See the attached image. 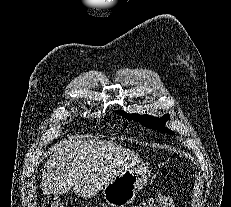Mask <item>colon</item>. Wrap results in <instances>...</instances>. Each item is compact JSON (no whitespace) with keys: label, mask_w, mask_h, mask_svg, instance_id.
Masks as SVG:
<instances>
[{"label":"colon","mask_w":231,"mask_h":207,"mask_svg":"<svg viewBox=\"0 0 231 207\" xmlns=\"http://www.w3.org/2000/svg\"><path fill=\"white\" fill-rule=\"evenodd\" d=\"M44 207H64L63 203L58 199H48ZM135 207H175L171 197L166 194L155 195L148 199L147 202Z\"/></svg>","instance_id":"1"}]
</instances>
